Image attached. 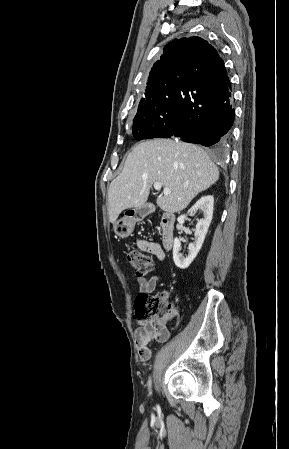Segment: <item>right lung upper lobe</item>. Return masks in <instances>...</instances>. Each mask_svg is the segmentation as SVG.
<instances>
[{
  "mask_svg": "<svg viewBox=\"0 0 289 449\" xmlns=\"http://www.w3.org/2000/svg\"><path fill=\"white\" fill-rule=\"evenodd\" d=\"M224 67L216 49L200 37L181 38L168 43L151 68L145 96L176 91L180 82L207 81Z\"/></svg>",
  "mask_w": 289,
  "mask_h": 449,
  "instance_id": "obj_1",
  "label": "right lung upper lobe"
}]
</instances>
